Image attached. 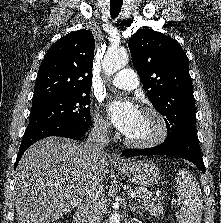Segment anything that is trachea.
Instances as JSON below:
<instances>
[{
    "label": "trachea",
    "mask_w": 221,
    "mask_h": 223,
    "mask_svg": "<svg viewBox=\"0 0 221 223\" xmlns=\"http://www.w3.org/2000/svg\"><path fill=\"white\" fill-rule=\"evenodd\" d=\"M123 0H111L110 2V15L113 19H115L122 8Z\"/></svg>",
    "instance_id": "3493384b"
}]
</instances>
